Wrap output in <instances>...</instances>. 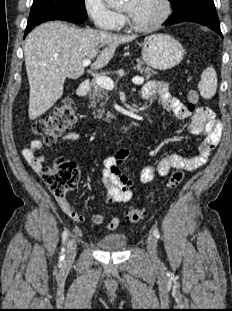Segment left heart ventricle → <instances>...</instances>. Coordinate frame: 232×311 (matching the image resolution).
I'll return each mask as SVG.
<instances>
[{"label": "left heart ventricle", "mask_w": 232, "mask_h": 311, "mask_svg": "<svg viewBox=\"0 0 232 311\" xmlns=\"http://www.w3.org/2000/svg\"><path fill=\"white\" fill-rule=\"evenodd\" d=\"M123 9L127 11L133 22L147 25L159 17L162 5L160 0H126Z\"/></svg>", "instance_id": "1"}]
</instances>
